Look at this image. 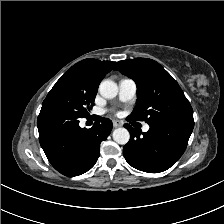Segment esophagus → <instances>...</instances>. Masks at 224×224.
I'll list each match as a JSON object with an SVG mask.
<instances>
[{"label": "esophagus", "instance_id": "34e87169", "mask_svg": "<svg viewBox=\"0 0 224 224\" xmlns=\"http://www.w3.org/2000/svg\"><path fill=\"white\" fill-rule=\"evenodd\" d=\"M121 126V123L120 122H118V121H113V127L114 128H117V127H120Z\"/></svg>", "mask_w": 224, "mask_h": 224}]
</instances>
